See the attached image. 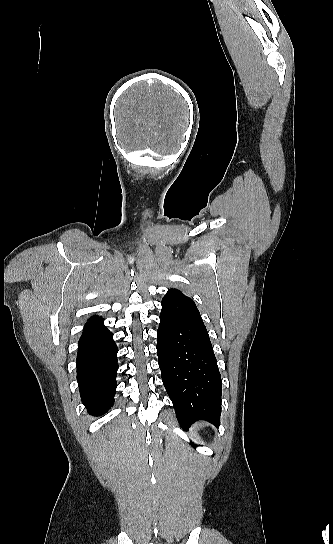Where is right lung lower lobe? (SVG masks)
<instances>
[{
    "label": "right lung lower lobe",
    "instance_id": "98d812e1",
    "mask_svg": "<svg viewBox=\"0 0 333 544\" xmlns=\"http://www.w3.org/2000/svg\"><path fill=\"white\" fill-rule=\"evenodd\" d=\"M118 347L102 317L90 318L78 342L77 381L89 414L101 416L114 404Z\"/></svg>",
    "mask_w": 333,
    "mask_h": 544
}]
</instances>
